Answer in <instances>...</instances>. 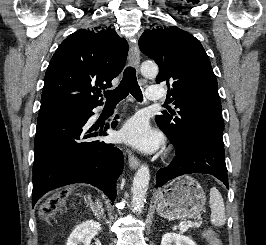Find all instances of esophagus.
Instances as JSON below:
<instances>
[{
    "label": "esophagus",
    "instance_id": "1",
    "mask_svg": "<svg viewBox=\"0 0 266 245\" xmlns=\"http://www.w3.org/2000/svg\"><path fill=\"white\" fill-rule=\"evenodd\" d=\"M128 58H129L130 63L134 67L137 68L139 66V63H140V51H139L137 43L130 42ZM128 162H129V166L132 169H136L140 165L139 159L132 152H130L128 154Z\"/></svg>",
    "mask_w": 266,
    "mask_h": 245
}]
</instances>
